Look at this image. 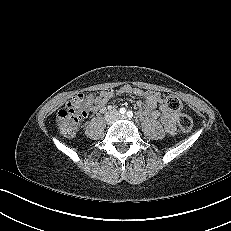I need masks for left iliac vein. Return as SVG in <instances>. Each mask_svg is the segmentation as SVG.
Here are the masks:
<instances>
[{"instance_id": "1", "label": "left iliac vein", "mask_w": 231, "mask_h": 231, "mask_svg": "<svg viewBox=\"0 0 231 231\" xmlns=\"http://www.w3.org/2000/svg\"><path fill=\"white\" fill-rule=\"evenodd\" d=\"M119 118H124V116H119Z\"/></svg>"}]
</instances>
